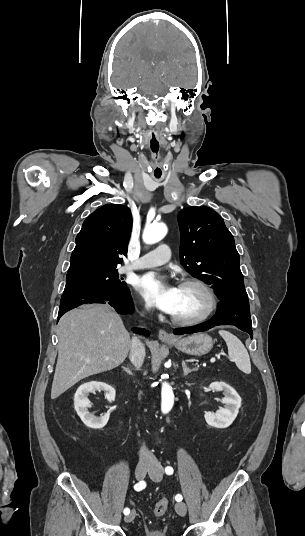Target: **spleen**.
I'll return each instance as SVG.
<instances>
[{
  "label": "spleen",
  "instance_id": "1",
  "mask_svg": "<svg viewBox=\"0 0 305 536\" xmlns=\"http://www.w3.org/2000/svg\"><path fill=\"white\" fill-rule=\"evenodd\" d=\"M219 334L226 342L229 358L235 362L237 368H239L241 372H244V374H251L249 354L242 342H240L236 336L230 334V332H225V330H220Z\"/></svg>",
  "mask_w": 305,
  "mask_h": 536
}]
</instances>
